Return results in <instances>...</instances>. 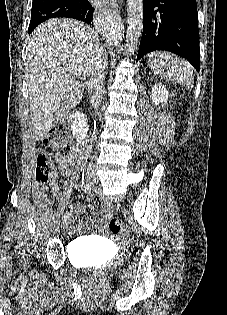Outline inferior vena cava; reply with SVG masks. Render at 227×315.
I'll return each mask as SVG.
<instances>
[{
    "mask_svg": "<svg viewBox=\"0 0 227 315\" xmlns=\"http://www.w3.org/2000/svg\"><path fill=\"white\" fill-rule=\"evenodd\" d=\"M103 55V56H102ZM102 57V58H101ZM102 48L98 50V56L93 62L91 77L89 81V92L92 106L98 111L99 105L102 101V95L104 93L103 83L105 79V60Z\"/></svg>",
    "mask_w": 227,
    "mask_h": 315,
    "instance_id": "1",
    "label": "inferior vena cava"
}]
</instances>
